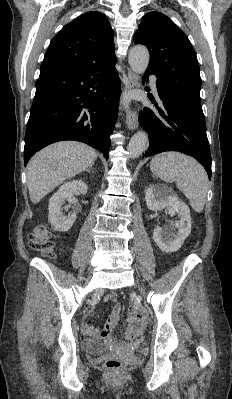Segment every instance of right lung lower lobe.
I'll list each match as a JSON object with an SVG mask.
<instances>
[{
    "mask_svg": "<svg viewBox=\"0 0 232 399\" xmlns=\"http://www.w3.org/2000/svg\"><path fill=\"white\" fill-rule=\"evenodd\" d=\"M115 63L40 71L26 128L25 165L35 152L63 140L84 142L108 158L120 95Z\"/></svg>",
    "mask_w": 232,
    "mask_h": 399,
    "instance_id": "98d812e1",
    "label": "right lung lower lobe"
}]
</instances>
